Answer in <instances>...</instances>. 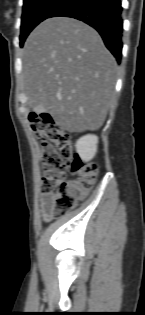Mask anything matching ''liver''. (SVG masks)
Returning <instances> with one entry per match:
<instances>
[{"instance_id": "obj_1", "label": "liver", "mask_w": 145, "mask_h": 315, "mask_svg": "<svg viewBox=\"0 0 145 315\" xmlns=\"http://www.w3.org/2000/svg\"><path fill=\"white\" fill-rule=\"evenodd\" d=\"M22 59L27 105L36 113H49L71 133L103 125L117 63L95 29L73 18L46 19L27 38Z\"/></svg>"}]
</instances>
